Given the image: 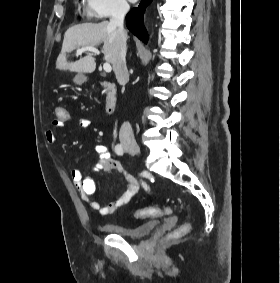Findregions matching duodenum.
<instances>
[{
	"label": "duodenum",
	"instance_id": "1",
	"mask_svg": "<svg viewBox=\"0 0 280 283\" xmlns=\"http://www.w3.org/2000/svg\"><path fill=\"white\" fill-rule=\"evenodd\" d=\"M103 88L106 95L105 109L108 113H112L117 105L116 86L112 82H104Z\"/></svg>",
	"mask_w": 280,
	"mask_h": 283
}]
</instances>
